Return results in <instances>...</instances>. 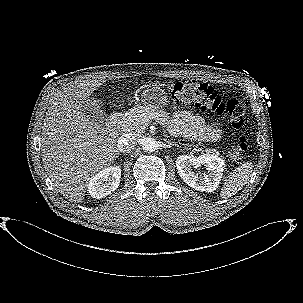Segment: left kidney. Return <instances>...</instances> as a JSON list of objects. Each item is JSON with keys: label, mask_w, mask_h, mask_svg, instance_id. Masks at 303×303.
<instances>
[{"label": "left kidney", "mask_w": 303, "mask_h": 303, "mask_svg": "<svg viewBox=\"0 0 303 303\" xmlns=\"http://www.w3.org/2000/svg\"><path fill=\"white\" fill-rule=\"evenodd\" d=\"M176 166L183 181L198 191L213 192L218 188L225 168L224 160L216 155L200 156L181 155L176 159ZM205 166L207 173L199 175L192 168Z\"/></svg>", "instance_id": "1"}]
</instances>
